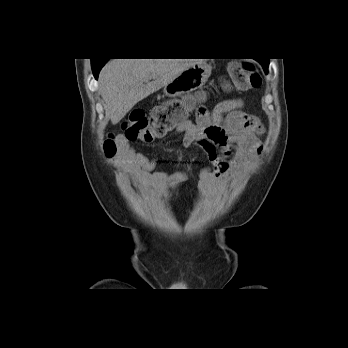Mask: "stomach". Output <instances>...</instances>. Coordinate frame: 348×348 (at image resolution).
Wrapping results in <instances>:
<instances>
[{
  "label": "stomach",
  "instance_id": "1",
  "mask_svg": "<svg viewBox=\"0 0 348 348\" xmlns=\"http://www.w3.org/2000/svg\"><path fill=\"white\" fill-rule=\"evenodd\" d=\"M212 67L205 62H198L177 75L164 86V94L168 97H186L187 108L192 110L197 102H204L205 97L198 93L192 96L191 92L202 89L211 75Z\"/></svg>",
  "mask_w": 348,
  "mask_h": 348
}]
</instances>
